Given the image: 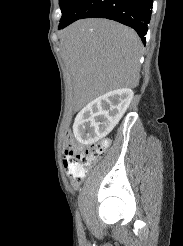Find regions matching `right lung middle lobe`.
<instances>
[{"instance_id":"obj_1","label":"right lung middle lobe","mask_w":183,"mask_h":246,"mask_svg":"<svg viewBox=\"0 0 183 246\" xmlns=\"http://www.w3.org/2000/svg\"><path fill=\"white\" fill-rule=\"evenodd\" d=\"M79 1L80 0H59V5L62 12L60 23L67 20Z\"/></svg>"}]
</instances>
